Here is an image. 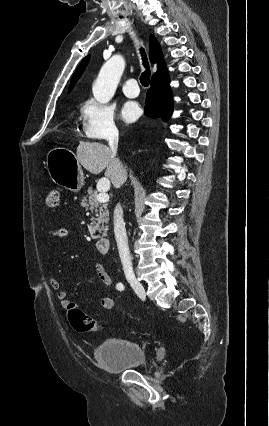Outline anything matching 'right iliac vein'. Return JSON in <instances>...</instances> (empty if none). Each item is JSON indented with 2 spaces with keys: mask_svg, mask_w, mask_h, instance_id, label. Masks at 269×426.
Masks as SVG:
<instances>
[{
  "mask_svg": "<svg viewBox=\"0 0 269 426\" xmlns=\"http://www.w3.org/2000/svg\"><path fill=\"white\" fill-rule=\"evenodd\" d=\"M128 282L134 289V291L137 293V295L144 300L146 293L143 285L135 277H129Z\"/></svg>",
  "mask_w": 269,
  "mask_h": 426,
  "instance_id": "right-iliac-vein-1",
  "label": "right iliac vein"
}]
</instances>
